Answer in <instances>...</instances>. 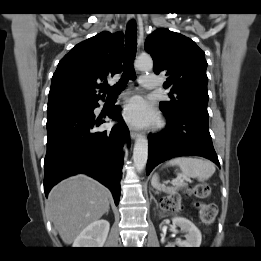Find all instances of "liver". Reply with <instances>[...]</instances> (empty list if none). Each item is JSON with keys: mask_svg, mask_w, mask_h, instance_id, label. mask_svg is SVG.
<instances>
[{"mask_svg": "<svg viewBox=\"0 0 261 261\" xmlns=\"http://www.w3.org/2000/svg\"><path fill=\"white\" fill-rule=\"evenodd\" d=\"M109 190L96 180L77 175L55 186L48 196V212L65 244H71L92 222L109 210Z\"/></svg>", "mask_w": 261, "mask_h": 261, "instance_id": "6515ba94", "label": "liver"}]
</instances>
